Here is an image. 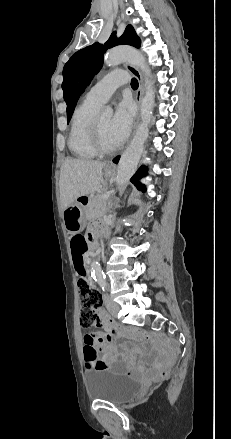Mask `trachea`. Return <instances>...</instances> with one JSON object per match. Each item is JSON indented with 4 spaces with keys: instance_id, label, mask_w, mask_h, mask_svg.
I'll list each match as a JSON object with an SVG mask.
<instances>
[{
    "instance_id": "1",
    "label": "trachea",
    "mask_w": 231,
    "mask_h": 439,
    "mask_svg": "<svg viewBox=\"0 0 231 439\" xmlns=\"http://www.w3.org/2000/svg\"><path fill=\"white\" fill-rule=\"evenodd\" d=\"M138 85H139L138 80L136 78H132V80H131V87L133 89H137Z\"/></svg>"
}]
</instances>
